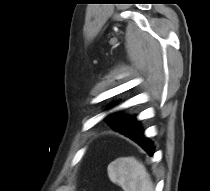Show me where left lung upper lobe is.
<instances>
[{"mask_svg": "<svg viewBox=\"0 0 210 191\" xmlns=\"http://www.w3.org/2000/svg\"><path fill=\"white\" fill-rule=\"evenodd\" d=\"M105 121L115 131L120 132L124 135L139 128L137 120L134 117L122 116L117 113L109 114L105 118Z\"/></svg>", "mask_w": 210, "mask_h": 191, "instance_id": "1", "label": "left lung upper lobe"}]
</instances>
